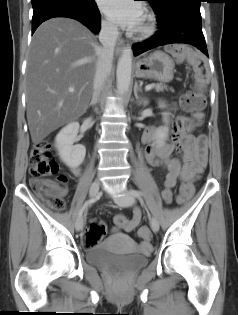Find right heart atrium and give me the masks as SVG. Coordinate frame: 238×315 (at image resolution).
<instances>
[{"label":"right heart atrium","mask_w":238,"mask_h":315,"mask_svg":"<svg viewBox=\"0 0 238 315\" xmlns=\"http://www.w3.org/2000/svg\"><path fill=\"white\" fill-rule=\"evenodd\" d=\"M102 30L107 34V35H114L116 33V27L114 26L113 23H111L109 20H102L101 23Z\"/></svg>","instance_id":"1"}]
</instances>
